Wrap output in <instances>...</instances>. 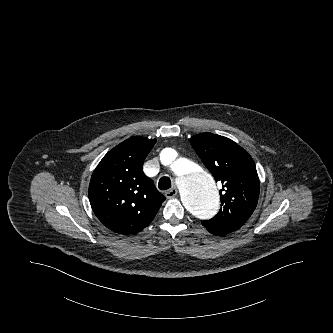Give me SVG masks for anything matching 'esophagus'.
Listing matches in <instances>:
<instances>
[{
	"label": "esophagus",
	"instance_id": "obj_1",
	"mask_svg": "<svg viewBox=\"0 0 333 333\" xmlns=\"http://www.w3.org/2000/svg\"><path fill=\"white\" fill-rule=\"evenodd\" d=\"M178 194V190L176 187H173L172 189L168 190L166 193H165V196L168 198V199H172L174 197H176Z\"/></svg>",
	"mask_w": 333,
	"mask_h": 333
}]
</instances>
